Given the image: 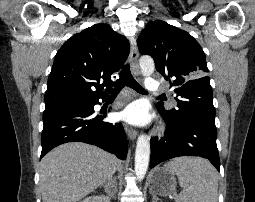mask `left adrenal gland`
Returning <instances> with one entry per match:
<instances>
[{
	"label": "left adrenal gland",
	"mask_w": 255,
	"mask_h": 202,
	"mask_svg": "<svg viewBox=\"0 0 255 202\" xmlns=\"http://www.w3.org/2000/svg\"><path fill=\"white\" fill-rule=\"evenodd\" d=\"M157 201H158V198L156 196H153L152 202H157Z\"/></svg>",
	"instance_id": "left-adrenal-gland-1"
}]
</instances>
